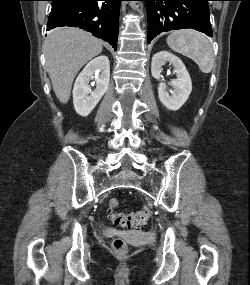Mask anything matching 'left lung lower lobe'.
I'll use <instances>...</instances> for the list:
<instances>
[{
    "mask_svg": "<svg viewBox=\"0 0 250 285\" xmlns=\"http://www.w3.org/2000/svg\"><path fill=\"white\" fill-rule=\"evenodd\" d=\"M148 15V43L162 32L191 28L212 37L208 1L210 0H140Z\"/></svg>",
    "mask_w": 250,
    "mask_h": 285,
    "instance_id": "1",
    "label": "left lung lower lobe"
}]
</instances>
